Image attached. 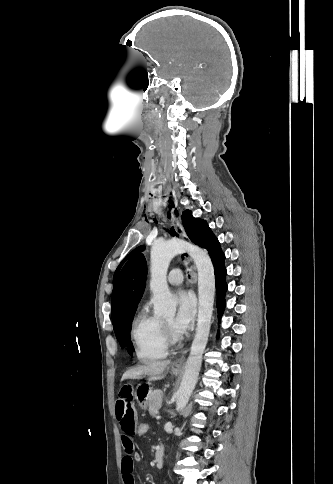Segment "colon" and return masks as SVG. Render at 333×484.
I'll use <instances>...</instances> for the list:
<instances>
[{"label": "colon", "mask_w": 333, "mask_h": 484, "mask_svg": "<svg viewBox=\"0 0 333 484\" xmlns=\"http://www.w3.org/2000/svg\"><path fill=\"white\" fill-rule=\"evenodd\" d=\"M150 431V425L146 421H139L136 429H135V435L138 437H144L146 436Z\"/></svg>", "instance_id": "1"}]
</instances>
